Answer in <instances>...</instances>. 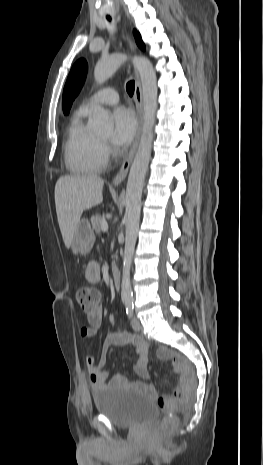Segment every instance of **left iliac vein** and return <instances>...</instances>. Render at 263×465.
<instances>
[{"mask_svg": "<svg viewBox=\"0 0 263 465\" xmlns=\"http://www.w3.org/2000/svg\"><path fill=\"white\" fill-rule=\"evenodd\" d=\"M131 325H132V328L135 330V331H140L142 326H141V323H140V320L136 317H134L131 321Z\"/></svg>", "mask_w": 263, "mask_h": 465, "instance_id": "1", "label": "left iliac vein"}]
</instances>
